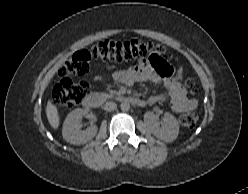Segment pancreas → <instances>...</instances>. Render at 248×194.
Listing matches in <instances>:
<instances>
[{"mask_svg": "<svg viewBox=\"0 0 248 194\" xmlns=\"http://www.w3.org/2000/svg\"><path fill=\"white\" fill-rule=\"evenodd\" d=\"M105 98H113L119 95L117 91L111 90L109 94H103Z\"/></svg>", "mask_w": 248, "mask_h": 194, "instance_id": "cf45deb5", "label": "pancreas"}]
</instances>
